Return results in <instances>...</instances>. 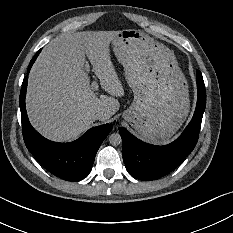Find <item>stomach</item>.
I'll use <instances>...</instances> for the list:
<instances>
[{
  "instance_id": "1",
  "label": "stomach",
  "mask_w": 233,
  "mask_h": 233,
  "mask_svg": "<svg viewBox=\"0 0 233 233\" xmlns=\"http://www.w3.org/2000/svg\"><path fill=\"white\" fill-rule=\"evenodd\" d=\"M111 49L134 99L124 120L146 141L169 142L189 114V85L174 53L140 29H123Z\"/></svg>"
}]
</instances>
